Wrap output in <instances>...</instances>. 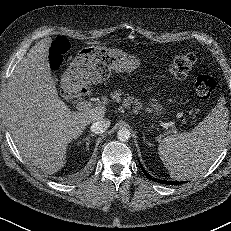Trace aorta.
Instances as JSON below:
<instances>
[{
    "label": "aorta",
    "mask_w": 231,
    "mask_h": 231,
    "mask_svg": "<svg viewBox=\"0 0 231 231\" xmlns=\"http://www.w3.org/2000/svg\"><path fill=\"white\" fill-rule=\"evenodd\" d=\"M131 137V133L129 130L127 129H120L117 133V138L121 141V142H127L129 141Z\"/></svg>",
    "instance_id": "762f6f07"
}]
</instances>
